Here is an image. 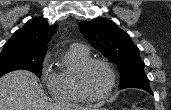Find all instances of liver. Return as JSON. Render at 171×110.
Masks as SVG:
<instances>
[{
  "instance_id": "1",
  "label": "liver",
  "mask_w": 171,
  "mask_h": 110,
  "mask_svg": "<svg viewBox=\"0 0 171 110\" xmlns=\"http://www.w3.org/2000/svg\"><path fill=\"white\" fill-rule=\"evenodd\" d=\"M0 110H90L61 103H49L37 76L27 70L12 71L0 78Z\"/></svg>"
}]
</instances>
